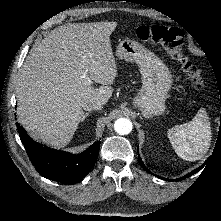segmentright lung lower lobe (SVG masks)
<instances>
[{"instance_id":"1","label":"right lung lower lobe","mask_w":221,"mask_h":221,"mask_svg":"<svg viewBox=\"0 0 221 221\" xmlns=\"http://www.w3.org/2000/svg\"><path fill=\"white\" fill-rule=\"evenodd\" d=\"M17 129L32 164L39 174L47 179L64 184H75L90 172L97 160L99 141L84 152L73 155L43 147L34 142L18 123Z\"/></svg>"}]
</instances>
